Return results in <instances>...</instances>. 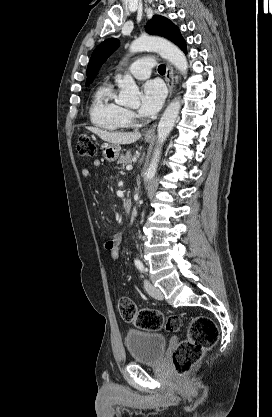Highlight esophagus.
<instances>
[{"instance_id":"34e87169","label":"esophagus","mask_w":272,"mask_h":417,"mask_svg":"<svg viewBox=\"0 0 272 417\" xmlns=\"http://www.w3.org/2000/svg\"><path fill=\"white\" fill-rule=\"evenodd\" d=\"M165 78H166V82H167L168 89H169V95L167 99V102H168L172 96L173 88H174V71H173V67L171 66V64H167ZM154 134H155V125L151 126L145 133L146 136H153Z\"/></svg>"}]
</instances>
